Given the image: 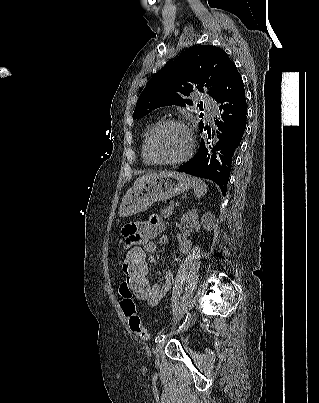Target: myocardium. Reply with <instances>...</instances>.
Segmentation results:
<instances>
[{
	"label": "myocardium",
	"instance_id": "myocardium-1",
	"mask_svg": "<svg viewBox=\"0 0 319 403\" xmlns=\"http://www.w3.org/2000/svg\"><path fill=\"white\" fill-rule=\"evenodd\" d=\"M169 125H176L179 126L181 128L184 129V131L187 134L188 137V147L186 152L179 158L176 159H172V160H162L159 159L153 151V142L154 139L156 137V135L158 134V132L163 129L166 126ZM194 151V137L192 134V131L190 129V127L182 120L179 119H174V118H170V119H166L163 120L161 122H159L151 131L148 140H147V153L149 158L156 164H162V165H176V164H181L185 161H187L193 154Z\"/></svg>",
	"mask_w": 319,
	"mask_h": 403
}]
</instances>
